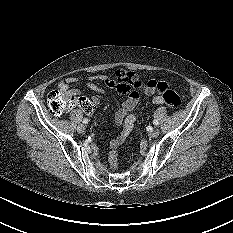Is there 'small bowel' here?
<instances>
[{
  "label": "small bowel",
  "instance_id": "small-bowel-1",
  "mask_svg": "<svg viewBox=\"0 0 233 233\" xmlns=\"http://www.w3.org/2000/svg\"><path fill=\"white\" fill-rule=\"evenodd\" d=\"M96 82H102L108 88L115 89L118 92L126 95L125 101L122 103L121 107L118 109L114 117L117 124H123L120 133L110 142L111 148L115 150L124 143L131 131L135 128V118L130 115V112L135 109L139 102V89H142L147 95H154L159 92L156 90L155 87L147 83L135 88L126 87L118 80H115L103 74L89 77L85 81L84 85L88 89L96 93L103 94L105 92L104 88L99 87ZM76 84H78V80L75 77H68L64 81H61L59 83L58 88L59 90L65 92L67 95L74 97L76 100V104H78L80 109L85 110L86 112H92L94 107L99 103L98 96L93 95L90 99L81 96V92L79 91V89L75 88ZM153 102L155 104H163L160 101V96L154 97ZM130 118L133 119V122L131 124H129L128 122Z\"/></svg>",
  "mask_w": 233,
  "mask_h": 233
}]
</instances>
